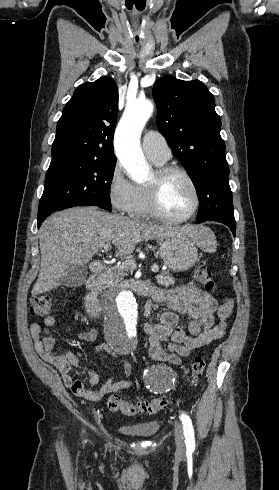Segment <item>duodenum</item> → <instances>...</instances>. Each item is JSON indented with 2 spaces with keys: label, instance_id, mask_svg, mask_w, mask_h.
Wrapping results in <instances>:
<instances>
[{
  "label": "duodenum",
  "instance_id": "410a0bca",
  "mask_svg": "<svg viewBox=\"0 0 279 490\" xmlns=\"http://www.w3.org/2000/svg\"><path fill=\"white\" fill-rule=\"evenodd\" d=\"M90 269L93 275L100 274L104 269V264L102 261L95 260L90 264ZM121 287L124 289L132 290L139 295H147L149 288L148 286L140 280L129 279L121 283ZM85 308L88 313L93 316H98L101 312V303L94 291H88L84 298Z\"/></svg>",
  "mask_w": 279,
  "mask_h": 490
}]
</instances>
